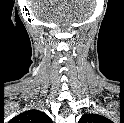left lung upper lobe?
Listing matches in <instances>:
<instances>
[{"mask_svg":"<svg viewBox=\"0 0 124 123\" xmlns=\"http://www.w3.org/2000/svg\"><path fill=\"white\" fill-rule=\"evenodd\" d=\"M107 119L101 115L94 113H86L84 114L79 123H106Z\"/></svg>","mask_w":124,"mask_h":123,"instance_id":"left-lung-upper-lobe-1","label":"left lung upper lobe"}]
</instances>
